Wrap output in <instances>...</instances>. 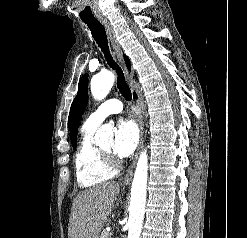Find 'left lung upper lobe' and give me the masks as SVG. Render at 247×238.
Masks as SVG:
<instances>
[{"instance_id":"obj_1","label":"left lung upper lobe","mask_w":247,"mask_h":238,"mask_svg":"<svg viewBox=\"0 0 247 238\" xmlns=\"http://www.w3.org/2000/svg\"><path fill=\"white\" fill-rule=\"evenodd\" d=\"M88 77L83 75L79 81L78 93L71 105L68 124L70 130V139L73 147H76L77 144V128L78 122L86 109L88 101Z\"/></svg>"}]
</instances>
